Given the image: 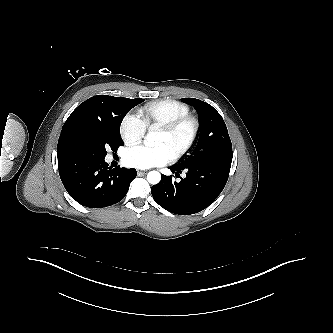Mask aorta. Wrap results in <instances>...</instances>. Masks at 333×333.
Masks as SVG:
<instances>
[{"label": "aorta", "mask_w": 333, "mask_h": 333, "mask_svg": "<svg viewBox=\"0 0 333 333\" xmlns=\"http://www.w3.org/2000/svg\"><path fill=\"white\" fill-rule=\"evenodd\" d=\"M158 137H159V132L151 131L146 135L145 142L149 146H153L158 141ZM160 180H161V174L157 171H150L147 174V181L152 185L158 184Z\"/></svg>", "instance_id": "762f6f07"}]
</instances>
